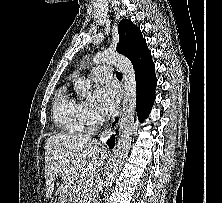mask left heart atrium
<instances>
[{"mask_svg":"<svg viewBox=\"0 0 222 203\" xmlns=\"http://www.w3.org/2000/svg\"><path fill=\"white\" fill-rule=\"evenodd\" d=\"M120 103V92L113 85L100 87L95 93L96 110L104 115L110 116L116 113Z\"/></svg>","mask_w":222,"mask_h":203,"instance_id":"1","label":"left heart atrium"}]
</instances>
